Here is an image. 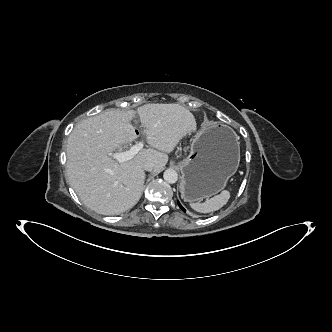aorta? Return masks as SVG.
Returning <instances> with one entry per match:
<instances>
[{
  "instance_id": "762f6f07",
  "label": "aorta",
  "mask_w": 332,
  "mask_h": 332,
  "mask_svg": "<svg viewBox=\"0 0 332 332\" xmlns=\"http://www.w3.org/2000/svg\"><path fill=\"white\" fill-rule=\"evenodd\" d=\"M163 178L167 183L174 184L178 180V174L173 169H167L163 174Z\"/></svg>"
}]
</instances>
